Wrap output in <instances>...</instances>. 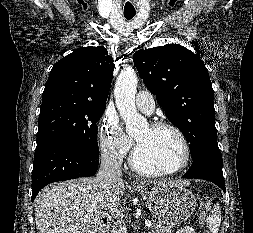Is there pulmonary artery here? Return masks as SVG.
<instances>
[{
    "label": "pulmonary artery",
    "mask_w": 253,
    "mask_h": 233,
    "mask_svg": "<svg viewBox=\"0 0 253 233\" xmlns=\"http://www.w3.org/2000/svg\"><path fill=\"white\" fill-rule=\"evenodd\" d=\"M137 108L146 115H151L155 110V100L151 93L140 91L135 97Z\"/></svg>",
    "instance_id": "1"
}]
</instances>
